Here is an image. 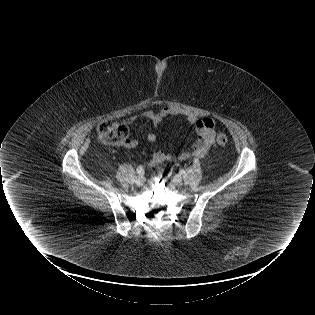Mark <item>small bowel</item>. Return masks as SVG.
<instances>
[{
    "mask_svg": "<svg viewBox=\"0 0 315 315\" xmlns=\"http://www.w3.org/2000/svg\"><path fill=\"white\" fill-rule=\"evenodd\" d=\"M178 115V112L169 107H162L158 110H149L141 113L139 116H131L125 120V124H131L138 117H142L150 121L155 130L159 128L162 122L169 118ZM188 123L195 127L197 133V140L195 143L187 150L174 154L171 152H164L162 150H156L153 152L148 166H156L163 162H174L177 160H189L192 158H206L208 152L215 141V121L212 118H197L193 115L186 117ZM147 140L151 143L157 140L156 132H150L147 134ZM137 145L135 139H128L125 146L128 148H133Z\"/></svg>",
    "mask_w": 315,
    "mask_h": 315,
    "instance_id": "1",
    "label": "small bowel"
}]
</instances>
